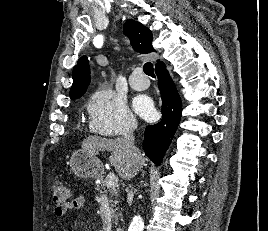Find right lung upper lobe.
<instances>
[{"mask_svg": "<svg viewBox=\"0 0 268 231\" xmlns=\"http://www.w3.org/2000/svg\"><path fill=\"white\" fill-rule=\"evenodd\" d=\"M124 34L131 40L135 51L140 53L155 51L152 47L151 31L140 22L135 20L126 21L124 24ZM161 64H163V62L158 61L155 68ZM72 78L73 84L70 90V98L76 99L85 93L91 79L89 61L86 56L81 57L77 65L74 66Z\"/></svg>", "mask_w": 268, "mask_h": 231, "instance_id": "obj_1", "label": "right lung upper lobe"}]
</instances>
